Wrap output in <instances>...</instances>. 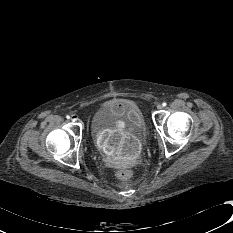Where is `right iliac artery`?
<instances>
[{
    "mask_svg": "<svg viewBox=\"0 0 233 233\" xmlns=\"http://www.w3.org/2000/svg\"><path fill=\"white\" fill-rule=\"evenodd\" d=\"M66 118H67V119H70V116H69V115H67V116H66Z\"/></svg>",
    "mask_w": 233,
    "mask_h": 233,
    "instance_id": "obj_1",
    "label": "right iliac artery"
}]
</instances>
